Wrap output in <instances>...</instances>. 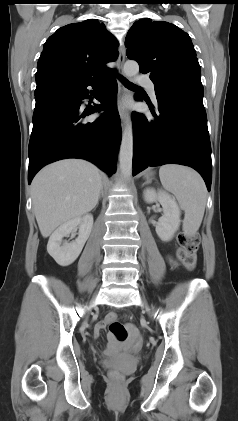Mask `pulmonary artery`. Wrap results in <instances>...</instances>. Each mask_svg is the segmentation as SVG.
Returning <instances> with one entry per match:
<instances>
[{
  "label": "pulmonary artery",
  "instance_id": "obj_1",
  "mask_svg": "<svg viewBox=\"0 0 238 421\" xmlns=\"http://www.w3.org/2000/svg\"><path fill=\"white\" fill-rule=\"evenodd\" d=\"M137 82L139 84H141V85H144L147 88V90H148L150 96L152 97V99L154 101H156L155 85H154V83L148 77H145V76L138 77L137 78Z\"/></svg>",
  "mask_w": 238,
  "mask_h": 421
}]
</instances>
